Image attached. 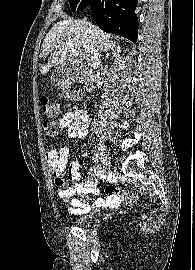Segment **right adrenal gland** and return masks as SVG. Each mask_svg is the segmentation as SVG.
Masks as SVG:
<instances>
[{"label": "right adrenal gland", "instance_id": "right-adrenal-gland-1", "mask_svg": "<svg viewBox=\"0 0 195 270\" xmlns=\"http://www.w3.org/2000/svg\"><path fill=\"white\" fill-rule=\"evenodd\" d=\"M120 51H116V52H105V57L104 59H108L111 55L112 56H116Z\"/></svg>", "mask_w": 195, "mask_h": 270}]
</instances>
